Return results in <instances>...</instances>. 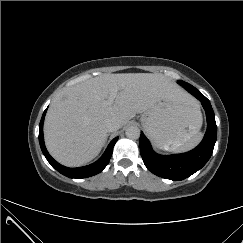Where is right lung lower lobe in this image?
Instances as JSON below:
<instances>
[{
  "label": "right lung lower lobe",
  "mask_w": 243,
  "mask_h": 243,
  "mask_svg": "<svg viewBox=\"0 0 243 243\" xmlns=\"http://www.w3.org/2000/svg\"><path fill=\"white\" fill-rule=\"evenodd\" d=\"M47 110V109H46ZM46 110L43 113V116L41 118L40 121V125H39V143H40V147L41 150L44 154V156L46 157L47 161L61 174L69 177V178H86V177H90L93 175H96L98 173H100L108 164L111 155H112V151H113V147L116 143V141L118 140V137L114 138L110 144L108 145L106 151L104 152V154L100 157V159H98L96 162H94L93 164H90L88 166H84V167H78V168H68L65 166H62L61 164H59L58 162H56L48 153V151L46 150V147L44 145V139H43V122H44V117H45V113Z\"/></svg>",
  "instance_id": "right-lung-lower-lobe-1"
}]
</instances>
